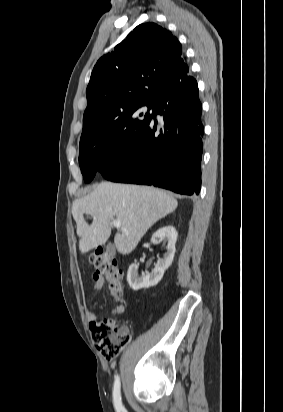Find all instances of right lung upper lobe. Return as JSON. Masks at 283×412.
I'll return each mask as SVG.
<instances>
[{
  "label": "right lung upper lobe",
  "mask_w": 283,
  "mask_h": 412,
  "mask_svg": "<svg viewBox=\"0 0 283 412\" xmlns=\"http://www.w3.org/2000/svg\"><path fill=\"white\" fill-rule=\"evenodd\" d=\"M188 76L176 37L155 23L137 26L94 66L81 138L105 131L135 105L157 103Z\"/></svg>",
  "instance_id": "right-lung-upper-lobe-1"
}]
</instances>
